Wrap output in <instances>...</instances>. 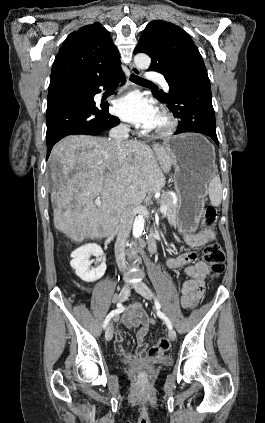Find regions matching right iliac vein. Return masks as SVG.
<instances>
[{
    "mask_svg": "<svg viewBox=\"0 0 265 423\" xmlns=\"http://www.w3.org/2000/svg\"><path fill=\"white\" fill-rule=\"evenodd\" d=\"M129 294H130L129 286L128 285L123 286L118 295V302L125 301L128 298ZM105 337L108 341H110L113 338V327L111 324H109L106 329Z\"/></svg>",
    "mask_w": 265,
    "mask_h": 423,
    "instance_id": "1",
    "label": "right iliac vein"
}]
</instances>
